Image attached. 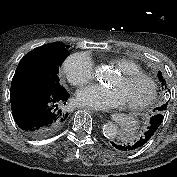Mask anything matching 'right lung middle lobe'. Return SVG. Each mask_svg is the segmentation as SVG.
Masks as SVG:
<instances>
[{
  "instance_id": "obj_1",
  "label": "right lung middle lobe",
  "mask_w": 177,
  "mask_h": 177,
  "mask_svg": "<svg viewBox=\"0 0 177 177\" xmlns=\"http://www.w3.org/2000/svg\"><path fill=\"white\" fill-rule=\"evenodd\" d=\"M63 46L53 53H35L25 55L16 69L13 76L11 88L15 87H34L52 92H64L65 88L60 84L58 76L59 67L69 56Z\"/></svg>"
}]
</instances>
